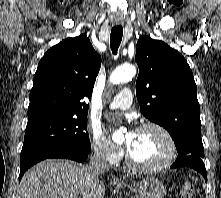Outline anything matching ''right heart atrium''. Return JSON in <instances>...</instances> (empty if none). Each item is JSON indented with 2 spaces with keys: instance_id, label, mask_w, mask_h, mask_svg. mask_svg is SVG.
I'll return each instance as SVG.
<instances>
[{
  "instance_id": "right-heart-atrium-1",
  "label": "right heart atrium",
  "mask_w": 221,
  "mask_h": 198,
  "mask_svg": "<svg viewBox=\"0 0 221 198\" xmlns=\"http://www.w3.org/2000/svg\"><path fill=\"white\" fill-rule=\"evenodd\" d=\"M91 148L96 158L110 165L116 164L122 152L98 131L91 133Z\"/></svg>"
}]
</instances>
